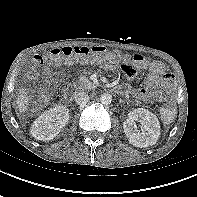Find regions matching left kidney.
<instances>
[{
	"mask_svg": "<svg viewBox=\"0 0 197 197\" xmlns=\"http://www.w3.org/2000/svg\"><path fill=\"white\" fill-rule=\"evenodd\" d=\"M134 121L142 124L141 132L133 126ZM123 129L128 141L135 147L145 148L156 144L160 136L158 118L149 110L138 108L129 113V118L123 123Z\"/></svg>",
	"mask_w": 197,
	"mask_h": 197,
	"instance_id": "1",
	"label": "left kidney"
}]
</instances>
